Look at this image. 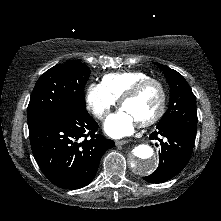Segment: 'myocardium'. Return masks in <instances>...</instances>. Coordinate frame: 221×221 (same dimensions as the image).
Masks as SVG:
<instances>
[{"label": "myocardium", "mask_w": 221, "mask_h": 221, "mask_svg": "<svg viewBox=\"0 0 221 221\" xmlns=\"http://www.w3.org/2000/svg\"><path fill=\"white\" fill-rule=\"evenodd\" d=\"M150 84H156L160 90V94H161L160 105H159L158 110L153 116L138 123L139 126L141 127L150 126L156 123L158 120H160V118L163 116L165 109H166V103H167V92H166L164 84L159 79L149 77L147 79H144L136 83L120 98V106L122 107L125 102L136 97L145 87H147Z\"/></svg>", "instance_id": "myocardium-1"}]
</instances>
